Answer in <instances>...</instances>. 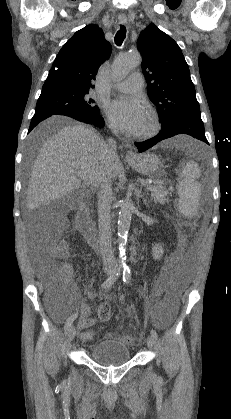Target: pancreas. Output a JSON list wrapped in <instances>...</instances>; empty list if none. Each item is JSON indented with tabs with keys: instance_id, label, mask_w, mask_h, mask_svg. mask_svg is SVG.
I'll use <instances>...</instances> for the list:
<instances>
[{
	"instance_id": "1",
	"label": "pancreas",
	"mask_w": 231,
	"mask_h": 419,
	"mask_svg": "<svg viewBox=\"0 0 231 419\" xmlns=\"http://www.w3.org/2000/svg\"><path fill=\"white\" fill-rule=\"evenodd\" d=\"M156 189L151 190V199L155 202V203H160V204H164L165 202H168V194L169 192L167 190H165L163 187L160 186H153Z\"/></svg>"
}]
</instances>
